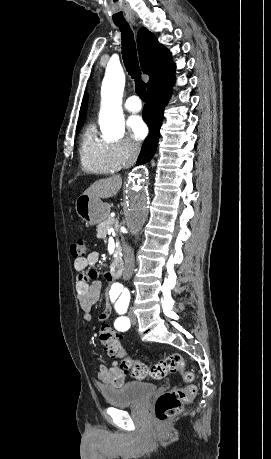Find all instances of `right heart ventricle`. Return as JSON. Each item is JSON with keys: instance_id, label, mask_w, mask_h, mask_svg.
<instances>
[{"instance_id": "1", "label": "right heart ventricle", "mask_w": 271, "mask_h": 459, "mask_svg": "<svg viewBox=\"0 0 271 459\" xmlns=\"http://www.w3.org/2000/svg\"><path fill=\"white\" fill-rule=\"evenodd\" d=\"M79 153L85 172L108 174L119 168L112 156V143L99 139L93 124L88 125L82 134Z\"/></svg>"}]
</instances>
